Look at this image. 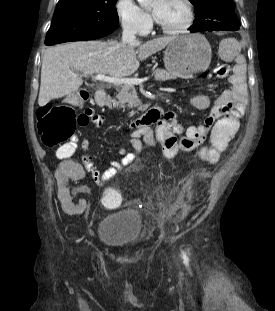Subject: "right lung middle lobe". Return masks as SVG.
<instances>
[{
	"mask_svg": "<svg viewBox=\"0 0 275 311\" xmlns=\"http://www.w3.org/2000/svg\"><path fill=\"white\" fill-rule=\"evenodd\" d=\"M117 0H59L45 44L96 39L118 27Z\"/></svg>",
	"mask_w": 275,
	"mask_h": 311,
	"instance_id": "right-lung-middle-lobe-1",
	"label": "right lung middle lobe"
}]
</instances>
